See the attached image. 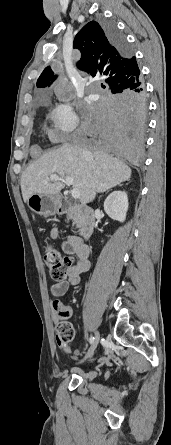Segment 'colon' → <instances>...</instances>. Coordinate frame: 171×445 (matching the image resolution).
Here are the masks:
<instances>
[{"instance_id":"colon-1","label":"colon","mask_w":171,"mask_h":445,"mask_svg":"<svg viewBox=\"0 0 171 445\" xmlns=\"http://www.w3.org/2000/svg\"><path fill=\"white\" fill-rule=\"evenodd\" d=\"M44 261L50 269L51 278L62 281L67 275V269L72 266L73 260L63 257L56 249L48 245L44 252ZM60 321L56 325L57 340L61 344L69 345L73 342L75 332L73 326L66 320V308L59 306Z\"/></svg>"}]
</instances>
